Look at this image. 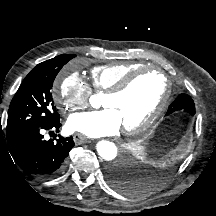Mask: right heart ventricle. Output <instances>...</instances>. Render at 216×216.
<instances>
[{
  "mask_svg": "<svg viewBox=\"0 0 216 216\" xmlns=\"http://www.w3.org/2000/svg\"><path fill=\"white\" fill-rule=\"evenodd\" d=\"M143 66L137 62L119 61L97 65L90 70L91 83L95 90L106 92L133 70Z\"/></svg>",
  "mask_w": 216,
  "mask_h": 216,
  "instance_id": "e07e8e85",
  "label": "right heart ventricle"
}]
</instances>
